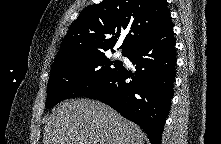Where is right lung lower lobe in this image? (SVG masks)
<instances>
[{"mask_svg": "<svg viewBox=\"0 0 221 144\" xmlns=\"http://www.w3.org/2000/svg\"><path fill=\"white\" fill-rule=\"evenodd\" d=\"M175 43L171 24L125 53L135 73L122 65L112 78L83 96L108 104L139 125L151 144H160L173 96Z\"/></svg>", "mask_w": 221, "mask_h": 144, "instance_id": "obj_1", "label": "right lung lower lobe"}]
</instances>
